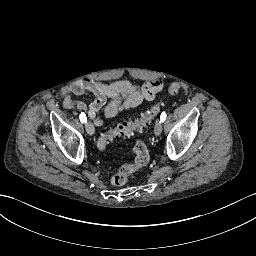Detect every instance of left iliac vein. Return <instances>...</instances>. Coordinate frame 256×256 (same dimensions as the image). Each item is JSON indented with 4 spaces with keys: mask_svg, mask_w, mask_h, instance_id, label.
<instances>
[{
    "mask_svg": "<svg viewBox=\"0 0 256 256\" xmlns=\"http://www.w3.org/2000/svg\"><path fill=\"white\" fill-rule=\"evenodd\" d=\"M154 133L156 136H159L162 133V123L157 121L154 127Z\"/></svg>",
    "mask_w": 256,
    "mask_h": 256,
    "instance_id": "obj_1",
    "label": "left iliac vein"
}]
</instances>
